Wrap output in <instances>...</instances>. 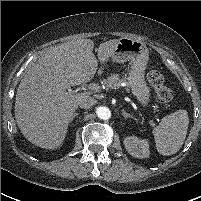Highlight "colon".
I'll return each instance as SVG.
<instances>
[{
	"label": "colon",
	"instance_id": "1",
	"mask_svg": "<svg viewBox=\"0 0 201 201\" xmlns=\"http://www.w3.org/2000/svg\"><path fill=\"white\" fill-rule=\"evenodd\" d=\"M147 77L155 89L158 101L160 103L171 102L173 99V92L169 87L166 86L163 74L157 70H151Z\"/></svg>",
	"mask_w": 201,
	"mask_h": 201
}]
</instances>
